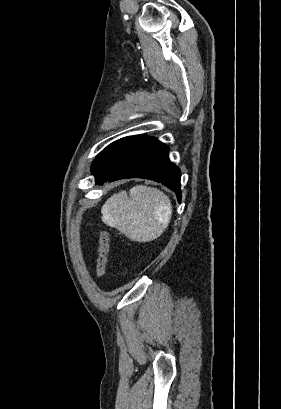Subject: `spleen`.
Returning <instances> with one entry per match:
<instances>
[{
	"label": "spleen",
	"mask_w": 281,
	"mask_h": 409,
	"mask_svg": "<svg viewBox=\"0 0 281 409\" xmlns=\"http://www.w3.org/2000/svg\"><path fill=\"white\" fill-rule=\"evenodd\" d=\"M102 221L137 243H149L166 231L172 217L171 200L153 186L136 184L115 192L101 209Z\"/></svg>",
	"instance_id": "3e777b00"
}]
</instances>
